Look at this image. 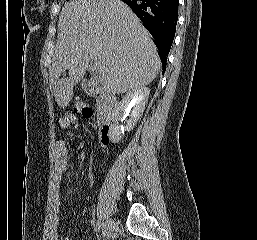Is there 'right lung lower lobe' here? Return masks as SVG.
Returning a JSON list of instances; mask_svg holds the SVG:
<instances>
[{"label":"right lung lower lobe","instance_id":"right-lung-lower-lobe-1","mask_svg":"<svg viewBox=\"0 0 257 240\" xmlns=\"http://www.w3.org/2000/svg\"><path fill=\"white\" fill-rule=\"evenodd\" d=\"M132 8L144 27L154 38L159 56L166 69L169 54L176 31L179 0H122Z\"/></svg>","mask_w":257,"mask_h":240}]
</instances>
